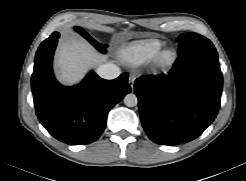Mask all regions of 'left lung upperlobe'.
<instances>
[{"mask_svg":"<svg viewBox=\"0 0 246 181\" xmlns=\"http://www.w3.org/2000/svg\"><path fill=\"white\" fill-rule=\"evenodd\" d=\"M179 42V53L210 44V40L197 33H184L177 38Z\"/></svg>","mask_w":246,"mask_h":181,"instance_id":"left-lung-upper-lobe-1","label":"left lung upper lobe"}]
</instances>
